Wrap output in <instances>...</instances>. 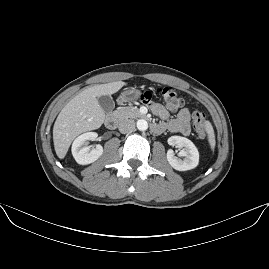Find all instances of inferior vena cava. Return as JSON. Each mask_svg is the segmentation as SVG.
<instances>
[{"mask_svg": "<svg viewBox=\"0 0 269 269\" xmlns=\"http://www.w3.org/2000/svg\"><path fill=\"white\" fill-rule=\"evenodd\" d=\"M118 129L123 134L132 132L135 129V122L130 119H125L119 123Z\"/></svg>", "mask_w": 269, "mask_h": 269, "instance_id": "1", "label": "inferior vena cava"}]
</instances>
